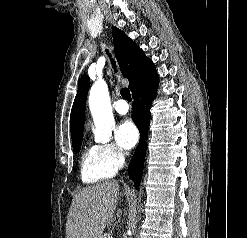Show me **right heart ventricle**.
I'll return each instance as SVG.
<instances>
[{
	"label": "right heart ventricle",
	"mask_w": 247,
	"mask_h": 238,
	"mask_svg": "<svg viewBox=\"0 0 247 238\" xmlns=\"http://www.w3.org/2000/svg\"><path fill=\"white\" fill-rule=\"evenodd\" d=\"M116 170L103 157L98 145L86 147L81 155L80 175L85 184H95L112 178Z\"/></svg>",
	"instance_id": "right-heart-ventricle-1"
}]
</instances>
